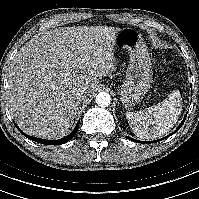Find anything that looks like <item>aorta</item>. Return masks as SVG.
<instances>
[{
  "label": "aorta",
  "instance_id": "aorta-1",
  "mask_svg": "<svg viewBox=\"0 0 199 199\" xmlns=\"http://www.w3.org/2000/svg\"><path fill=\"white\" fill-rule=\"evenodd\" d=\"M95 101L100 107H108L111 103V96L107 92H99L96 95Z\"/></svg>",
  "mask_w": 199,
  "mask_h": 199
}]
</instances>
